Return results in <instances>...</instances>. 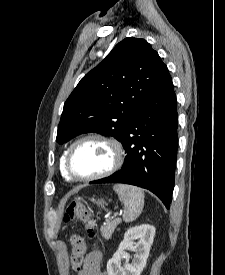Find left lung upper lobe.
I'll return each instance as SVG.
<instances>
[{
    "instance_id": "1",
    "label": "left lung upper lobe",
    "mask_w": 225,
    "mask_h": 275,
    "mask_svg": "<svg viewBox=\"0 0 225 275\" xmlns=\"http://www.w3.org/2000/svg\"><path fill=\"white\" fill-rule=\"evenodd\" d=\"M168 77L167 66L146 40L125 38L70 94L56 141L97 132L121 142L136 114Z\"/></svg>"
}]
</instances>
